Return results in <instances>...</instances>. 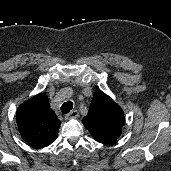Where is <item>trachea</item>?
I'll return each mask as SVG.
<instances>
[{
  "instance_id": "3493384b",
  "label": "trachea",
  "mask_w": 171,
  "mask_h": 171,
  "mask_svg": "<svg viewBox=\"0 0 171 171\" xmlns=\"http://www.w3.org/2000/svg\"><path fill=\"white\" fill-rule=\"evenodd\" d=\"M72 108H73V103L71 101H67L62 104L60 110L63 114H67Z\"/></svg>"
}]
</instances>
